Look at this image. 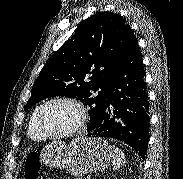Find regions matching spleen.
<instances>
[{"instance_id": "spleen-1", "label": "spleen", "mask_w": 183, "mask_h": 179, "mask_svg": "<svg viewBox=\"0 0 183 179\" xmlns=\"http://www.w3.org/2000/svg\"><path fill=\"white\" fill-rule=\"evenodd\" d=\"M109 148L112 154L113 169L117 170L123 164H125V155L119 148L115 147L114 145L110 146Z\"/></svg>"}]
</instances>
